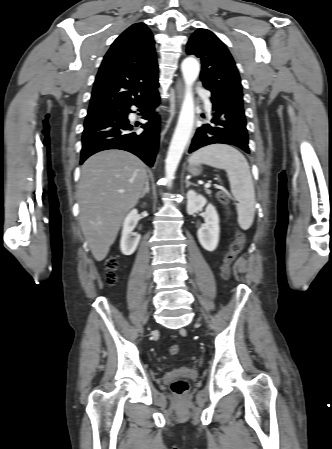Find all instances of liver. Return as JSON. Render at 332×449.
<instances>
[{
    "mask_svg": "<svg viewBox=\"0 0 332 449\" xmlns=\"http://www.w3.org/2000/svg\"><path fill=\"white\" fill-rule=\"evenodd\" d=\"M146 177L145 164L121 150L99 152L82 165L77 192L80 225L97 261L107 256L125 215L142 194Z\"/></svg>",
    "mask_w": 332,
    "mask_h": 449,
    "instance_id": "liver-1",
    "label": "liver"
}]
</instances>
